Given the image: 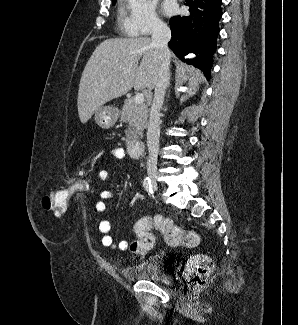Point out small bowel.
<instances>
[{"label":"small bowel","mask_w":298,"mask_h":325,"mask_svg":"<svg viewBox=\"0 0 298 325\" xmlns=\"http://www.w3.org/2000/svg\"><path fill=\"white\" fill-rule=\"evenodd\" d=\"M110 155L118 160L124 159L126 157L125 150L121 147L113 148L110 151ZM98 177L101 181H108L110 178V174L106 169H101L98 173ZM100 197L102 200L98 201L95 205V209L98 213H103L106 210V204L104 202L105 199L112 198V193L109 190H103L100 193ZM144 197L139 192L134 193L131 197L129 204L133 205L136 201H143ZM99 232L102 235L101 237V244L104 247L108 248H119L120 250H126L128 248L127 241H120L118 244L114 242L112 235L110 234L111 231V223L108 220H102L98 226Z\"/></svg>","instance_id":"c3829d8e"}]
</instances>
